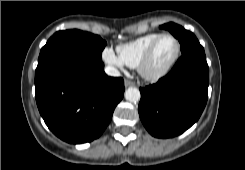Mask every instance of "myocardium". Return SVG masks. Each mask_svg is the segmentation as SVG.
I'll return each instance as SVG.
<instances>
[{"label":"myocardium","mask_w":245,"mask_h":170,"mask_svg":"<svg viewBox=\"0 0 245 170\" xmlns=\"http://www.w3.org/2000/svg\"><path fill=\"white\" fill-rule=\"evenodd\" d=\"M164 37H169L174 42V46H175L174 53H173L171 59L162 68H160L158 70H151L149 68V63H150L151 58L153 56L154 50H155L157 44L159 43V41ZM179 55H180V46H179V42L176 39V37L170 33L159 34L149 44V46L147 47V49L143 53V55L139 61V64L137 66L138 72L146 80L158 81L170 73V71L173 69V67L176 64V62L179 58Z\"/></svg>","instance_id":"1"}]
</instances>
